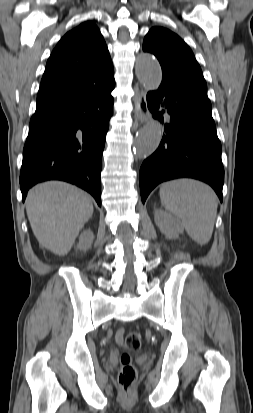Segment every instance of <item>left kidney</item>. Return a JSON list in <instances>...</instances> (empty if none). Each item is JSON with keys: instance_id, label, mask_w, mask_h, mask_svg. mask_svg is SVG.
<instances>
[{"instance_id": "left-kidney-1", "label": "left kidney", "mask_w": 253, "mask_h": 413, "mask_svg": "<svg viewBox=\"0 0 253 413\" xmlns=\"http://www.w3.org/2000/svg\"><path fill=\"white\" fill-rule=\"evenodd\" d=\"M154 220L167 239H176L179 234L183 233L184 228L181 222L163 210H155Z\"/></svg>"}]
</instances>
